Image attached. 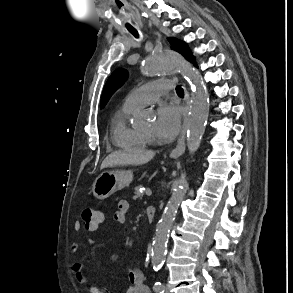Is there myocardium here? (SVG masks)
<instances>
[{"instance_id": "myocardium-1", "label": "myocardium", "mask_w": 293, "mask_h": 293, "mask_svg": "<svg viewBox=\"0 0 293 293\" xmlns=\"http://www.w3.org/2000/svg\"><path fill=\"white\" fill-rule=\"evenodd\" d=\"M149 140H151L152 139V135H150V134H146V133H143Z\"/></svg>"}]
</instances>
